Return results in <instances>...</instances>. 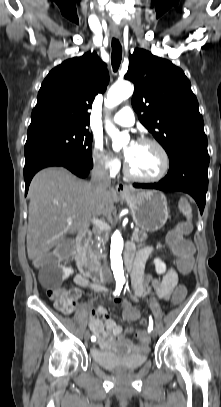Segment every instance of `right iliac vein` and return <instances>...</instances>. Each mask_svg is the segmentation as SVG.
Returning <instances> with one entry per match:
<instances>
[{
	"instance_id": "63e3f726",
	"label": "right iliac vein",
	"mask_w": 221,
	"mask_h": 407,
	"mask_svg": "<svg viewBox=\"0 0 221 407\" xmlns=\"http://www.w3.org/2000/svg\"><path fill=\"white\" fill-rule=\"evenodd\" d=\"M84 339H85L86 341L89 340V333H88L87 331L84 333Z\"/></svg>"
}]
</instances>
